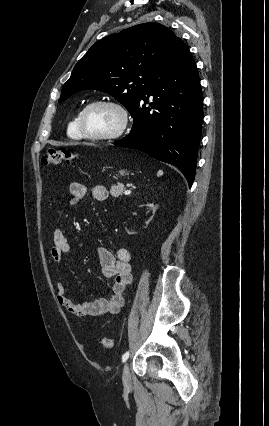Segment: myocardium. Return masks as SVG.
Segmentation results:
<instances>
[{
  "mask_svg": "<svg viewBox=\"0 0 269 426\" xmlns=\"http://www.w3.org/2000/svg\"><path fill=\"white\" fill-rule=\"evenodd\" d=\"M95 106H107L113 108L119 114V125L115 130L105 134H93L90 133L85 125V116L89 109ZM130 122V117L127 109L120 103L107 100V99H97L89 102L84 108L81 110L78 118V125L80 132L84 138L94 140V141H113L120 138L127 130Z\"/></svg>",
  "mask_w": 269,
  "mask_h": 426,
  "instance_id": "1",
  "label": "myocardium"
}]
</instances>
